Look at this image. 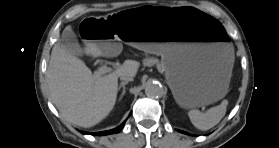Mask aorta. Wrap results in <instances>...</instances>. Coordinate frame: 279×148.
<instances>
[{
	"instance_id": "762f6f07",
	"label": "aorta",
	"mask_w": 279,
	"mask_h": 148,
	"mask_svg": "<svg viewBox=\"0 0 279 148\" xmlns=\"http://www.w3.org/2000/svg\"><path fill=\"white\" fill-rule=\"evenodd\" d=\"M145 94L148 97L160 98L164 94V88L161 84L150 81L145 85Z\"/></svg>"
}]
</instances>
